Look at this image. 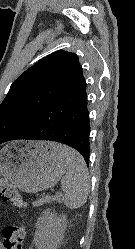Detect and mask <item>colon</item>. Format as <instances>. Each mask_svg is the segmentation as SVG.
Masks as SVG:
<instances>
[{
    "label": "colon",
    "instance_id": "5ec220e1",
    "mask_svg": "<svg viewBox=\"0 0 135 249\" xmlns=\"http://www.w3.org/2000/svg\"><path fill=\"white\" fill-rule=\"evenodd\" d=\"M0 198L18 208L25 206L17 189L4 178H0ZM27 235L28 229L25 225L6 226L2 233L4 249H23Z\"/></svg>",
    "mask_w": 135,
    "mask_h": 249
}]
</instances>
